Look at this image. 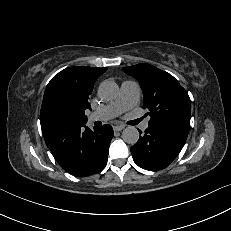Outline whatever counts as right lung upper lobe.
Listing matches in <instances>:
<instances>
[{
  "label": "right lung upper lobe",
  "instance_id": "right-lung-upper-lobe-1",
  "mask_svg": "<svg viewBox=\"0 0 231 231\" xmlns=\"http://www.w3.org/2000/svg\"><path fill=\"white\" fill-rule=\"evenodd\" d=\"M107 68L76 66L62 70L48 83L40 112L41 129L49 149L64 143L70 131L87 122L89 96Z\"/></svg>",
  "mask_w": 231,
  "mask_h": 231
}]
</instances>
